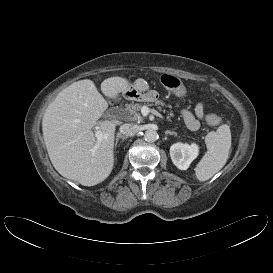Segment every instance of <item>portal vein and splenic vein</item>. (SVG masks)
I'll use <instances>...</instances> for the list:
<instances>
[{
    "instance_id": "18ae733b",
    "label": "portal vein and splenic vein",
    "mask_w": 273,
    "mask_h": 273,
    "mask_svg": "<svg viewBox=\"0 0 273 273\" xmlns=\"http://www.w3.org/2000/svg\"><path fill=\"white\" fill-rule=\"evenodd\" d=\"M141 112H142V115L143 116H147L150 112L149 108L146 107V106H143L142 109H141ZM97 136H98V139L101 140L102 139V135L97 133Z\"/></svg>"
}]
</instances>
